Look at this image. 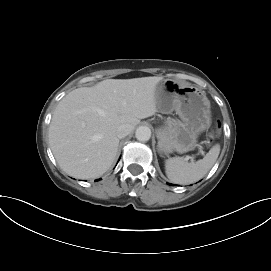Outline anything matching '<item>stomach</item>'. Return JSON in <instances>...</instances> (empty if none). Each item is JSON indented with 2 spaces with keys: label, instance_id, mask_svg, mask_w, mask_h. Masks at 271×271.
I'll use <instances>...</instances> for the list:
<instances>
[{
  "label": "stomach",
  "instance_id": "obj_1",
  "mask_svg": "<svg viewBox=\"0 0 271 271\" xmlns=\"http://www.w3.org/2000/svg\"><path fill=\"white\" fill-rule=\"evenodd\" d=\"M155 100L160 112L175 111L181 119L157 130L159 152L184 153L193 149L198 136L212 122L211 104L205 91L173 80H162L156 86Z\"/></svg>",
  "mask_w": 271,
  "mask_h": 271
}]
</instances>
